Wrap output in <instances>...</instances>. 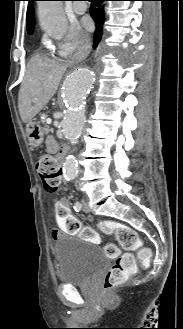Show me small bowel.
I'll return each mask as SVG.
<instances>
[{
    "label": "small bowel",
    "mask_w": 183,
    "mask_h": 329,
    "mask_svg": "<svg viewBox=\"0 0 183 329\" xmlns=\"http://www.w3.org/2000/svg\"><path fill=\"white\" fill-rule=\"evenodd\" d=\"M52 214L56 215L57 225L61 227V230L52 231V238H58L62 231L67 232L68 236H83V242H99L95 225H80L79 220H71L74 219L75 214L71 212L70 204L66 199H61L55 203Z\"/></svg>",
    "instance_id": "obj_1"
}]
</instances>
